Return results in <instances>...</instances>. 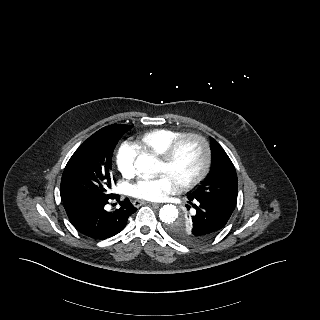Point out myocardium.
I'll use <instances>...</instances> for the list:
<instances>
[{"mask_svg":"<svg viewBox=\"0 0 320 320\" xmlns=\"http://www.w3.org/2000/svg\"><path fill=\"white\" fill-rule=\"evenodd\" d=\"M190 139L196 140L200 144V147L202 150V163L199 171L193 177L175 185L176 189L179 191L187 190L194 187L199 182H201L207 175L210 164H211V148L208 140L206 139L205 136H203L200 133H196V132L185 133V134H182L180 137H178L176 140H174L167 147V149L160 155L161 162H163L166 165L171 164L174 161L181 145L185 141Z\"/></svg>","mask_w":320,"mask_h":320,"instance_id":"f54148a6","label":"myocardium"}]
</instances>
